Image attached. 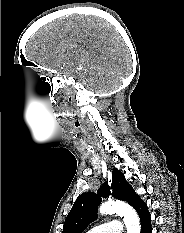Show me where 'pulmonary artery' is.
Returning a JSON list of instances; mask_svg holds the SVG:
<instances>
[{"label": "pulmonary artery", "instance_id": "1", "mask_svg": "<svg viewBox=\"0 0 184 233\" xmlns=\"http://www.w3.org/2000/svg\"><path fill=\"white\" fill-rule=\"evenodd\" d=\"M122 225L119 221H109L92 228L87 233H121Z\"/></svg>", "mask_w": 184, "mask_h": 233}]
</instances>
